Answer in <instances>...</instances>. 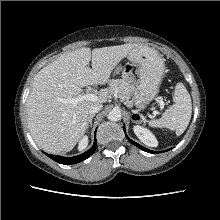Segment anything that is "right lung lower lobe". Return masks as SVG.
Listing matches in <instances>:
<instances>
[{
	"mask_svg": "<svg viewBox=\"0 0 220 220\" xmlns=\"http://www.w3.org/2000/svg\"><path fill=\"white\" fill-rule=\"evenodd\" d=\"M96 147H97V141H96V136H95V141H94L93 146L88 151H86L85 153H83L81 155L74 156V157H62V156H58V155H50L47 153H45V154L60 164H65V165L75 164V163H79V162L87 159L88 157H90L95 152Z\"/></svg>",
	"mask_w": 220,
	"mask_h": 220,
	"instance_id": "98d812e1",
	"label": "right lung lower lobe"
}]
</instances>
